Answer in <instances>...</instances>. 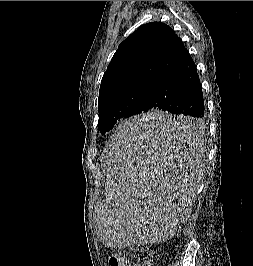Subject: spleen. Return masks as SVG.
Masks as SVG:
<instances>
[{
    "label": "spleen",
    "instance_id": "spleen-1",
    "mask_svg": "<svg viewBox=\"0 0 253 266\" xmlns=\"http://www.w3.org/2000/svg\"><path fill=\"white\" fill-rule=\"evenodd\" d=\"M120 123L105 161L108 207H96L104 248H163L185 229L196 196L201 123L180 111H145Z\"/></svg>",
    "mask_w": 253,
    "mask_h": 266
}]
</instances>
